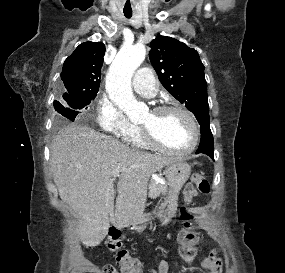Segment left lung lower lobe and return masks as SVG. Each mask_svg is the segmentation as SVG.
<instances>
[{"mask_svg": "<svg viewBox=\"0 0 285 273\" xmlns=\"http://www.w3.org/2000/svg\"><path fill=\"white\" fill-rule=\"evenodd\" d=\"M201 141L198 147V152L207 154L211 158L214 157V142L210 130V123L201 125Z\"/></svg>", "mask_w": 285, "mask_h": 273, "instance_id": "obj_1", "label": "left lung lower lobe"}]
</instances>
